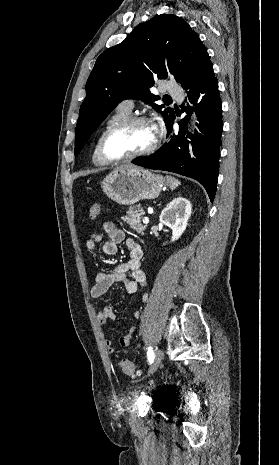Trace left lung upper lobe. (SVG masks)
<instances>
[{
  "instance_id": "5c2ea615",
  "label": "left lung upper lobe",
  "mask_w": 279,
  "mask_h": 465,
  "mask_svg": "<svg viewBox=\"0 0 279 465\" xmlns=\"http://www.w3.org/2000/svg\"><path fill=\"white\" fill-rule=\"evenodd\" d=\"M205 52L197 33L183 19L171 14L156 15L139 24L122 43L104 51L86 83V98L75 129V155L119 102L158 100L149 91L154 85L153 76L174 77L183 84ZM152 106L161 112L168 128L174 120V110L161 111L164 105Z\"/></svg>"
}]
</instances>
